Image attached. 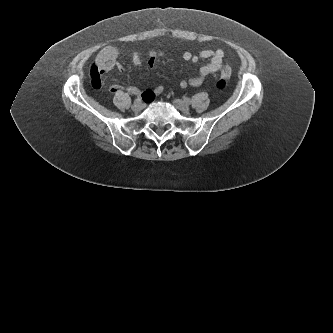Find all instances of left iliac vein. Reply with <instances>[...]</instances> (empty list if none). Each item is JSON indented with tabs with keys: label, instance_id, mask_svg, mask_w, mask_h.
Segmentation results:
<instances>
[{
	"label": "left iliac vein",
	"instance_id": "4c4485c4",
	"mask_svg": "<svg viewBox=\"0 0 333 333\" xmlns=\"http://www.w3.org/2000/svg\"><path fill=\"white\" fill-rule=\"evenodd\" d=\"M173 104L177 109H179L180 111H182L184 113H188L190 111L189 105L181 99H175L173 101Z\"/></svg>",
	"mask_w": 333,
	"mask_h": 333
}]
</instances>
